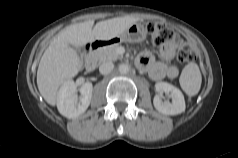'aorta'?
<instances>
[{
  "instance_id": "aorta-1",
  "label": "aorta",
  "mask_w": 238,
  "mask_h": 158,
  "mask_svg": "<svg viewBox=\"0 0 238 158\" xmlns=\"http://www.w3.org/2000/svg\"><path fill=\"white\" fill-rule=\"evenodd\" d=\"M130 70V67L128 64H120L119 65V72L121 74H127Z\"/></svg>"
}]
</instances>
